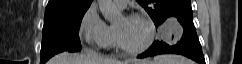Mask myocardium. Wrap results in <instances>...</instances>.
I'll list each match as a JSON object with an SVG mask.
<instances>
[{
    "mask_svg": "<svg viewBox=\"0 0 242 64\" xmlns=\"http://www.w3.org/2000/svg\"><path fill=\"white\" fill-rule=\"evenodd\" d=\"M126 18L137 19V20H141V21L145 22L147 24L148 28H149L148 38L145 41V43L142 44L141 46L130 47L123 42L121 35L119 33V30L115 27L116 39H117L118 46L124 52L129 53V54H139V53L146 51L152 45V43L154 42V39H155L156 27H155L154 22L148 16H146L144 14H140V13L130 14Z\"/></svg>",
    "mask_w": 242,
    "mask_h": 64,
    "instance_id": "obj_1",
    "label": "myocardium"
}]
</instances>
